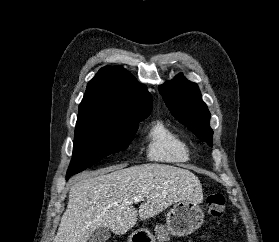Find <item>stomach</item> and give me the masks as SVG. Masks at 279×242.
Instances as JSON below:
<instances>
[{
  "label": "stomach",
  "mask_w": 279,
  "mask_h": 242,
  "mask_svg": "<svg viewBox=\"0 0 279 242\" xmlns=\"http://www.w3.org/2000/svg\"><path fill=\"white\" fill-rule=\"evenodd\" d=\"M204 222L202 208L193 201L176 202L166 216V225L155 229L159 242H167L171 236H187L198 230ZM156 237L146 229H139L129 237V242H156Z\"/></svg>",
  "instance_id": "1"
}]
</instances>
